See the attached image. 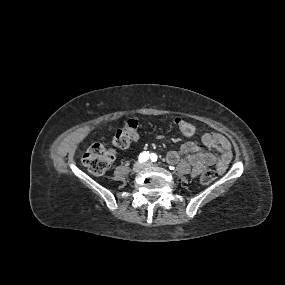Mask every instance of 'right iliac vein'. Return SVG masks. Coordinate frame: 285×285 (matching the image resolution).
<instances>
[{"label":"right iliac vein","mask_w":285,"mask_h":285,"mask_svg":"<svg viewBox=\"0 0 285 285\" xmlns=\"http://www.w3.org/2000/svg\"><path fill=\"white\" fill-rule=\"evenodd\" d=\"M144 167V165L140 162H136L134 165H133V172L134 173H138L141 171V169Z\"/></svg>","instance_id":"right-iliac-vein-1"}]
</instances>
